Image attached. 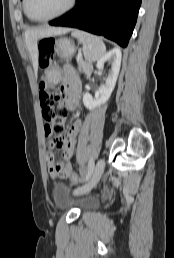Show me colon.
<instances>
[{"label":"colon","mask_w":174,"mask_h":258,"mask_svg":"<svg viewBox=\"0 0 174 258\" xmlns=\"http://www.w3.org/2000/svg\"><path fill=\"white\" fill-rule=\"evenodd\" d=\"M53 52L54 41L52 39H43L39 42V62L42 67L49 65L53 58ZM39 98L43 118L50 126L52 133L59 138H63L66 133L65 121L68 115L67 108L62 105L57 92H48L44 83L40 84ZM68 177L73 183H77L81 180V176L75 172H71Z\"/></svg>","instance_id":"5ec220e1"}]
</instances>
